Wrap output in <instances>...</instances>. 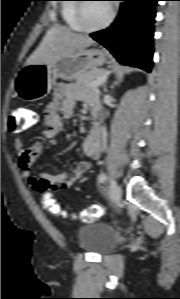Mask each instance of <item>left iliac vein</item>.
<instances>
[{
  "mask_svg": "<svg viewBox=\"0 0 180 299\" xmlns=\"http://www.w3.org/2000/svg\"><path fill=\"white\" fill-rule=\"evenodd\" d=\"M109 189H110V197L113 204H118L121 200V195H122L121 188L115 181L112 180Z\"/></svg>",
  "mask_w": 180,
  "mask_h": 299,
  "instance_id": "obj_1",
  "label": "left iliac vein"
}]
</instances>
